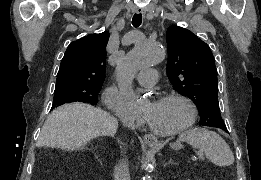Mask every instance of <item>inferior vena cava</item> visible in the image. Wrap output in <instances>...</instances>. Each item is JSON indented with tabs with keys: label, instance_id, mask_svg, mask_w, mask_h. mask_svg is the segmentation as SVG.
<instances>
[{
	"label": "inferior vena cava",
	"instance_id": "1",
	"mask_svg": "<svg viewBox=\"0 0 261 180\" xmlns=\"http://www.w3.org/2000/svg\"><path fill=\"white\" fill-rule=\"evenodd\" d=\"M126 174H128V166L126 164V162H122V164H119L118 166V172H117V176H119V178H126Z\"/></svg>",
	"mask_w": 261,
	"mask_h": 180
}]
</instances>
